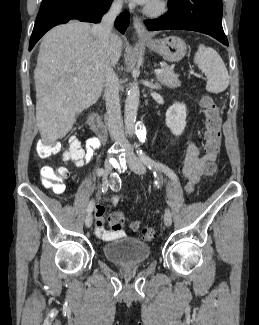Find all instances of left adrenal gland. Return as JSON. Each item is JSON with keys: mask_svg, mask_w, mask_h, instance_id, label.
Instances as JSON below:
<instances>
[{"mask_svg": "<svg viewBox=\"0 0 259 325\" xmlns=\"http://www.w3.org/2000/svg\"><path fill=\"white\" fill-rule=\"evenodd\" d=\"M156 87H159V85H158V84H156Z\"/></svg>", "mask_w": 259, "mask_h": 325, "instance_id": "obj_1", "label": "left adrenal gland"}]
</instances>
